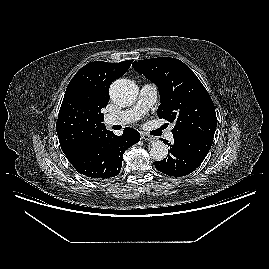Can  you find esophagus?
<instances>
[{"label": "esophagus", "instance_id": "esophagus-1", "mask_svg": "<svg viewBox=\"0 0 269 269\" xmlns=\"http://www.w3.org/2000/svg\"><path fill=\"white\" fill-rule=\"evenodd\" d=\"M141 138H142L143 140H147V141H150V140L153 139L152 136H150V135H148V134H146V133H142V134H141Z\"/></svg>", "mask_w": 269, "mask_h": 269}]
</instances>
